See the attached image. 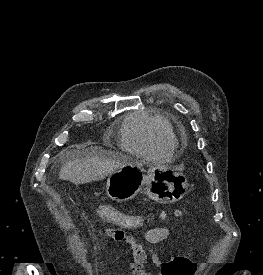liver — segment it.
<instances>
[{"label": "liver", "instance_id": "obj_1", "mask_svg": "<svg viewBox=\"0 0 263 275\" xmlns=\"http://www.w3.org/2000/svg\"><path fill=\"white\" fill-rule=\"evenodd\" d=\"M130 162L118 153H96L94 149L68 160L60 170L59 178L75 185L99 181Z\"/></svg>", "mask_w": 263, "mask_h": 275}]
</instances>
